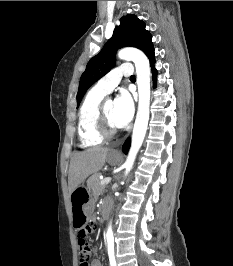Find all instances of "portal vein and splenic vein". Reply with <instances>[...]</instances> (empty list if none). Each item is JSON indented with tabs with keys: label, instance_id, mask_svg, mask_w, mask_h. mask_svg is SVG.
<instances>
[{
	"label": "portal vein and splenic vein",
	"instance_id": "obj_1",
	"mask_svg": "<svg viewBox=\"0 0 233 266\" xmlns=\"http://www.w3.org/2000/svg\"><path fill=\"white\" fill-rule=\"evenodd\" d=\"M111 181V177H105L102 181H101V185H106L108 183H110Z\"/></svg>",
	"mask_w": 233,
	"mask_h": 266
}]
</instances>
